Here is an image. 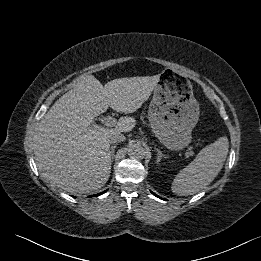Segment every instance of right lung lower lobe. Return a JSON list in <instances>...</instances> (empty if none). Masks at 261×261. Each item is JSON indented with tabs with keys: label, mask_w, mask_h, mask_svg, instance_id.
Listing matches in <instances>:
<instances>
[{
	"label": "right lung lower lobe",
	"mask_w": 261,
	"mask_h": 261,
	"mask_svg": "<svg viewBox=\"0 0 261 261\" xmlns=\"http://www.w3.org/2000/svg\"><path fill=\"white\" fill-rule=\"evenodd\" d=\"M106 191H104V192H101V193H99V194H96V195H92V196H98V195H101V194H103V193H105Z\"/></svg>",
	"instance_id": "obj_1"
}]
</instances>
